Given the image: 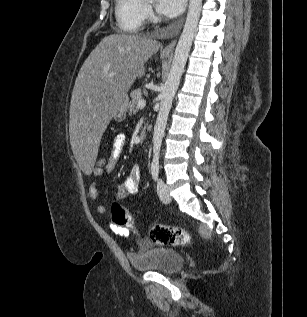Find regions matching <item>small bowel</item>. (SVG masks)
I'll return each instance as SVG.
<instances>
[{"label": "small bowel", "instance_id": "obj_1", "mask_svg": "<svg viewBox=\"0 0 307 317\" xmlns=\"http://www.w3.org/2000/svg\"><path fill=\"white\" fill-rule=\"evenodd\" d=\"M126 145V137L124 134L119 133L115 136L112 144L111 154L108 158V162L104 168H95L91 172V184L89 187V196L93 201L98 199V182L105 175L112 173L123 153ZM141 170L139 166H134L130 171L125 181L118 185L116 188V196L120 200L126 199L129 195L137 194L140 187ZM98 214L104 215L107 213V209L103 204L97 203L95 206ZM111 230L120 235L127 237L129 231L125 228L116 226L115 224L110 225Z\"/></svg>", "mask_w": 307, "mask_h": 317}]
</instances>
